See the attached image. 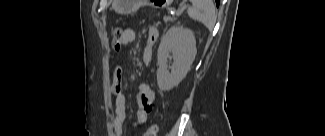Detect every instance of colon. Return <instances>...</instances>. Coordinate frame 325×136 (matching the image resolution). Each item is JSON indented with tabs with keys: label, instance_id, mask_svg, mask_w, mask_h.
Here are the masks:
<instances>
[{
	"label": "colon",
	"instance_id": "5ec220e1",
	"mask_svg": "<svg viewBox=\"0 0 325 136\" xmlns=\"http://www.w3.org/2000/svg\"><path fill=\"white\" fill-rule=\"evenodd\" d=\"M124 28H116L113 34V45L116 50L122 49L124 46L123 44V37H124ZM158 125H152L144 134L143 136H157L158 133Z\"/></svg>",
	"mask_w": 325,
	"mask_h": 136
}]
</instances>
